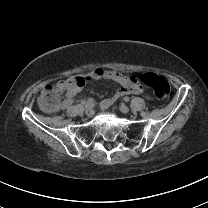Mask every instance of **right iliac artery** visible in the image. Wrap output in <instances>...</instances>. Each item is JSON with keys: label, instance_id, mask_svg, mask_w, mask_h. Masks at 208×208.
I'll list each match as a JSON object with an SVG mask.
<instances>
[{"label": "right iliac artery", "instance_id": "right-iliac-artery-1", "mask_svg": "<svg viewBox=\"0 0 208 208\" xmlns=\"http://www.w3.org/2000/svg\"><path fill=\"white\" fill-rule=\"evenodd\" d=\"M93 103H94V99L89 98V99L87 100V104H93Z\"/></svg>", "mask_w": 208, "mask_h": 208}]
</instances>
